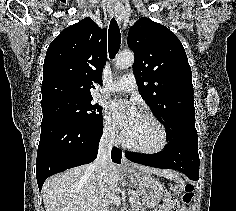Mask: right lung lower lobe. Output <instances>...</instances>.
<instances>
[{"label": "right lung lower lobe", "instance_id": "obj_1", "mask_svg": "<svg viewBox=\"0 0 236 211\" xmlns=\"http://www.w3.org/2000/svg\"><path fill=\"white\" fill-rule=\"evenodd\" d=\"M102 133L103 123L95 128L63 120L42 122L36 160L39 190L49 176L92 162ZM111 157L114 163H121L122 151L113 147Z\"/></svg>", "mask_w": 236, "mask_h": 211}]
</instances>
